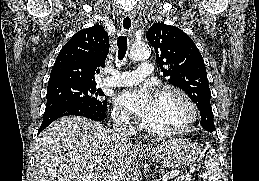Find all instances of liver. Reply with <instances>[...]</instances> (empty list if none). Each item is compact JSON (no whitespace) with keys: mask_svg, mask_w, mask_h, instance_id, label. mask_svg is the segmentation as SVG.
Returning <instances> with one entry per match:
<instances>
[{"mask_svg":"<svg viewBox=\"0 0 259 181\" xmlns=\"http://www.w3.org/2000/svg\"><path fill=\"white\" fill-rule=\"evenodd\" d=\"M135 160L131 143L124 146L113 130L78 116L54 121L37 138L35 181H106L116 162L127 176Z\"/></svg>","mask_w":259,"mask_h":181,"instance_id":"liver-1","label":"liver"}]
</instances>
